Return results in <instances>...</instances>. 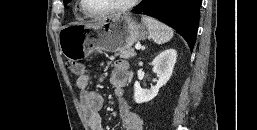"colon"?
<instances>
[{
  "label": "colon",
  "instance_id": "1",
  "mask_svg": "<svg viewBox=\"0 0 257 130\" xmlns=\"http://www.w3.org/2000/svg\"><path fill=\"white\" fill-rule=\"evenodd\" d=\"M67 67L72 74L78 77L83 76L86 73L85 66L76 61H69L67 63Z\"/></svg>",
  "mask_w": 257,
  "mask_h": 130
}]
</instances>
